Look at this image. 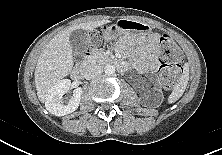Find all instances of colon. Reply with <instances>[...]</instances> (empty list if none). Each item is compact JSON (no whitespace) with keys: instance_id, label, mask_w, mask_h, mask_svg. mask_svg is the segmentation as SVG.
Returning <instances> with one entry per match:
<instances>
[{"instance_id":"obj_1","label":"colon","mask_w":222,"mask_h":155,"mask_svg":"<svg viewBox=\"0 0 222 155\" xmlns=\"http://www.w3.org/2000/svg\"><path fill=\"white\" fill-rule=\"evenodd\" d=\"M99 33L94 32L90 34V40L95 43L98 39ZM160 47L162 48V65L160 67V80L167 89L173 88L181 74L182 67L177 63L167 62L169 60H176L180 57V51L175 45L171 37L163 35L159 38Z\"/></svg>"}]
</instances>
